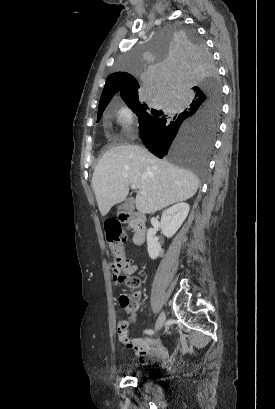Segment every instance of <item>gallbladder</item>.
Instances as JSON below:
<instances>
[{"label": "gallbladder", "mask_w": 275, "mask_h": 409, "mask_svg": "<svg viewBox=\"0 0 275 409\" xmlns=\"http://www.w3.org/2000/svg\"><path fill=\"white\" fill-rule=\"evenodd\" d=\"M119 213H132L134 211V198H127L123 205L118 207Z\"/></svg>", "instance_id": "1"}]
</instances>
